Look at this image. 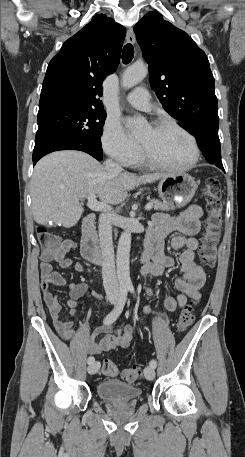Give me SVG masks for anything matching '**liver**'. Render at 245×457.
Wrapping results in <instances>:
<instances>
[{
    "label": "liver",
    "instance_id": "6515ba94",
    "mask_svg": "<svg viewBox=\"0 0 245 457\" xmlns=\"http://www.w3.org/2000/svg\"><path fill=\"white\" fill-rule=\"evenodd\" d=\"M167 174H141L132 172L108 174L96 158L81 150H57L37 162L31 178L32 214L38 224L74 226L84 208L80 198L92 192L102 202L120 204L139 184L154 182Z\"/></svg>",
    "mask_w": 245,
    "mask_h": 457
}]
</instances>
